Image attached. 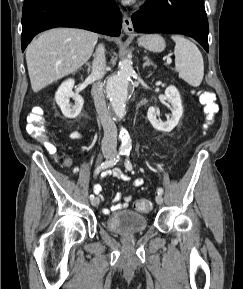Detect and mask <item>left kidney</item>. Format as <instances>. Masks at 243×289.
I'll return each mask as SVG.
<instances>
[{
    "mask_svg": "<svg viewBox=\"0 0 243 289\" xmlns=\"http://www.w3.org/2000/svg\"><path fill=\"white\" fill-rule=\"evenodd\" d=\"M165 96L168 102L171 104V118L165 122L157 119V110L155 107H150L148 109L147 117L152 124V126L163 132H170L175 128L183 114L182 101L179 91L176 87L170 85L165 90Z\"/></svg>",
    "mask_w": 243,
    "mask_h": 289,
    "instance_id": "left-kidney-1",
    "label": "left kidney"
}]
</instances>
